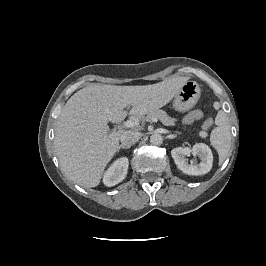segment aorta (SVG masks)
Returning <instances> with one entry per match:
<instances>
[{"mask_svg":"<svg viewBox=\"0 0 266 266\" xmlns=\"http://www.w3.org/2000/svg\"><path fill=\"white\" fill-rule=\"evenodd\" d=\"M163 142V136L161 134L155 133L150 137V143L153 145H160Z\"/></svg>","mask_w":266,"mask_h":266,"instance_id":"762f6f07","label":"aorta"}]
</instances>
